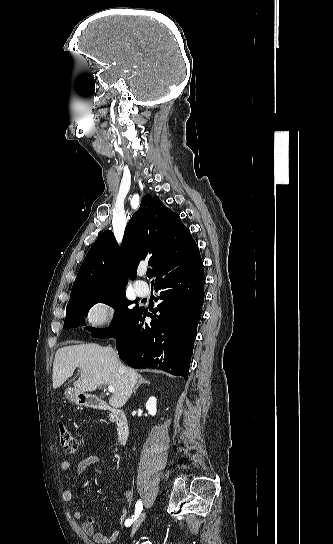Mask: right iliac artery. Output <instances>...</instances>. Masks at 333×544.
Listing matches in <instances>:
<instances>
[{"mask_svg":"<svg viewBox=\"0 0 333 544\" xmlns=\"http://www.w3.org/2000/svg\"><path fill=\"white\" fill-rule=\"evenodd\" d=\"M142 510H143V502L141 500H139V501H137L136 506H135V514L130 519H128L126 521L125 526L126 527L130 526L139 517Z\"/></svg>","mask_w":333,"mask_h":544,"instance_id":"right-iliac-artery-1","label":"right iliac artery"}]
</instances>
